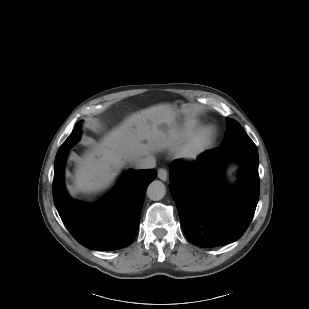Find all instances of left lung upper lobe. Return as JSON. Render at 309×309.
<instances>
[{"instance_id": "obj_1", "label": "left lung upper lobe", "mask_w": 309, "mask_h": 309, "mask_svg": "<svg viewBox=\"0 0 309 309\" xmlns=\"http://www.w3.org/2000/svg\"><path fill=\"white\" fill-rule=\"evenodd\" d=\"M227 124L226 136L221 147H231L241 143L253 142L237 121L227 118Z\"/></svg>"}]
</instances>
